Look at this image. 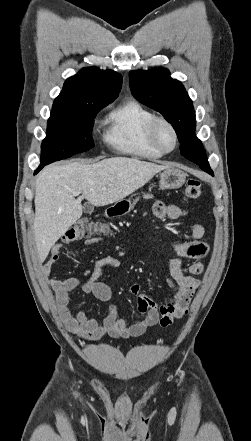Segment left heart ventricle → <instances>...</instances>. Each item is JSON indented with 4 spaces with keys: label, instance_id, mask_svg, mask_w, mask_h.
Returning <instances> with one entry per match:
<instances>
[{
    "label": "left heart ventricle",
    "instance_id": "b2bd125f",
    "mask_svg": "<svg viewBox=\"0 0 251 441\" xmlns=\"http://www.w3.org/2000/svg\"><path fill=\"white\" fill-rule=\"evenodd\" d=\"M158 139L165 149H170L174 143V137L171 130L166 126H160L158 130Z\"/></svg>",
    "mask_w": 251,
    "mask_h": 441
}]
</instances>
